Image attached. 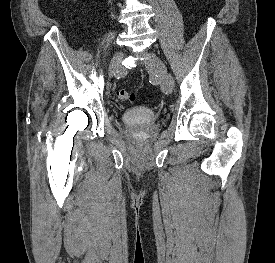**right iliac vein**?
Wrapping results in <instances>:
<instances>
[{
	"label": "right iliac vein",
	"mask_w": 275,
	"mask_h": 263,
	"mask_svg": "<svg viewBox=\"0 0 275 263\" xmlns=\"http://www.w3.org/2000/svg\"><path fill=\"white\" fill-rule=\"evenodd\" d=\"M123 57H124V53L122 51L117 52L113 56L109 65V75H113L115 72H117V70L121 66V61Z\"/></svg>",
	"instance_id": "1"
}]
</instances>
